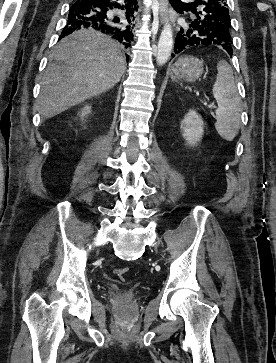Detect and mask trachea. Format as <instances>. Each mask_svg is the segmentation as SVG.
I'll use <instances>...</instances> for the list:
<instances>
[{"mask_svg": "<svg viewBox=\"0 0 276 363\" xmlns=\"http://www.w3.org/2000/svg\"><path fill=\"white\" fill-rule=\"evenodd\" d=\"M171 3L173 5H182V6H188L190 4L183 3L181 0H171Z\"/></svg>", "mask_w": 276, "mask_h": 363, "instance_id": "3493384b", "label": "trachea"}]
</instances>
